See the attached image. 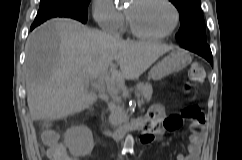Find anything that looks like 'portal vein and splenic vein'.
I'll return each mask as SVG.
<instances>
[{"mask_svg":"<svg viewBox=\"0 0 242 160\" xmlns=\"http://www.w3.org/2000/svg\"><path fill=\"white\" fill-rule=\"evenodd\" d=\"M87 81H89V79ZM90 81H91V84L93 85V87H95L99 91H104L106 89L103 76H99L98 78L92 77V78H90ZM107 90L110 92L112 97L116 98L117 93H118V91L116 89H113V88L107 86ZM143 103H144L143 100L138 101L139 106H141Z\"/></svg>","mask_w":242,"mask_h":160,"instance_id":"1","label":"portal vein and splenic vein"}]
</instances>
